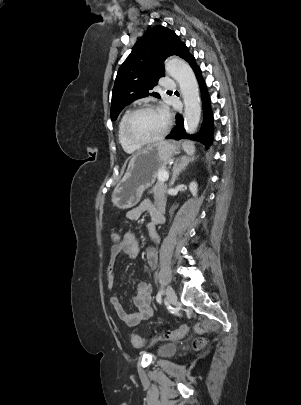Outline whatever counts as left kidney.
Listing matches in <instances>:
<instances>
[{
    "mask_svg": "<svg viewBox=\"0 0 301 405\" xmlns=\"http://www.w3.org/2000/svg\"><path fill=\"white\" fill-rule=\"evenodd\" d=\"M189 189H190V192L192 193V195H193L194 197H196V196H197V192H198V185H197V183H196L195 181H193V182L190 183Z\"/></svg>",
    "mask_w": 301,
    "mask_h": 405,
    "instance_id": "5707ae66",
    "label": "left kidney"
}]
</instances>
